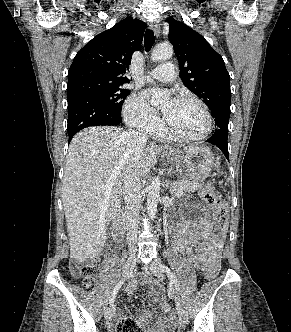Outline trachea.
<instances>
[{
	"instance_id": "3493384b",
	"label": "trachea",
	"mask_w": 291,
	"mask_h": 332,
	"mask_svg": "<svg viewBox=\"0 0 291 332\" xmlns=\"http://www.w3.org/2000/svg\"><path fill=\"white\" fill-rule=\"evenodd\" d=\"M154 39H155V37H154L153 31L150 29L146 30L145 36H144V47H145L146 52H149L150 49L152 48Z\"/></svg>"
}]
</instances>
